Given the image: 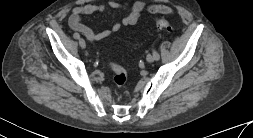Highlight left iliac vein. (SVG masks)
<instances>
[{
  "instance_id": "left-iliac-vein-1",
  "label": "left iliac vein",
  "mask_w": 253,
  "mask_h": 138,
  "mask_svg": "<svg viewBox=\"0 0 253 138\" xmlns=\"http://www.w3.org/2000/svg\"><path fill=\"white\" fill-rule=\"evenodd\" d=\"M147 62H153L155 60L154 53H149L146 57Z\"/></svg>"
}]
</instances>
